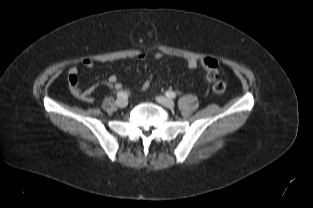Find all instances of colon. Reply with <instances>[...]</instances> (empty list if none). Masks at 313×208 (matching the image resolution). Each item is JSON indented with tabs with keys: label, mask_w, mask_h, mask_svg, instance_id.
<instances>
[{
	"label": "colon",
	"mask_w": 313,
	"mask_h": 208,
	"mask_svg": "<svg viewBox=\"0 0 313 208\" xmlns=\"http://www.w3.org/2000/svg\"><path fill=\"white\" fill-rule=\"evenodd\" d=\"M207 83L210 89L215 93H222L226 90V83L219 79L218 68H211L207 71ZM152 80V76H149L144 82V87H148Z\"/></svg>",
	"instance_id": "1"
}]
</instances>
